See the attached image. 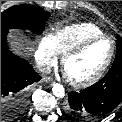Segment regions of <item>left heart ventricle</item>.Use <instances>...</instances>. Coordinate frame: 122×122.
Segmentation results:
<instances>
[{
  "label": "left heart ventricle",
  "mask_w": 122,
  "mask_h": 122,
  "mask_svg": "<svg viewBox=\"0 0 122 122\" xmlns=\"http://www.w3.org/2000/svg\"><path fill=\"white\" fill-rule=\"evenodd\" d=\"M111 51V43L101 40L86 48L82 53L70 58L65 65V73L74 80H83L94 75L106 62Z\"/></svg>",
  "instance_id": "left-heart-ventricle-1"
}]
</instances>
